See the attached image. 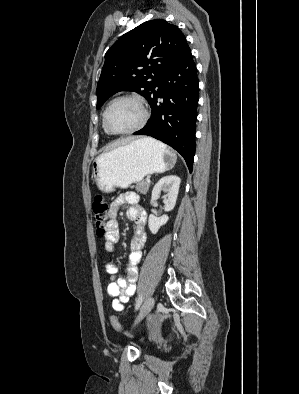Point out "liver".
I'll return each mask as SVG.
<instances>
[{"instance_id": "1", "label": "liver", "mask_w": 299, "mask_h": 394, "mask_svg": "<svg viewBox=\"0 0 299 394\" xmlns=\"http://www.w3.org/2000/svg\"><path fill=\"white\" fill-rule=\"evenodd\" d=\"M133 140V138H127V139H124V140H122V141H119V142H117L116 143V145H124V144H127V143H129V142H131Z\"/></svg>"}]
</instances>
